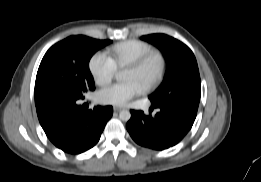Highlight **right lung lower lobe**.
Segmentation results:
<instances>
[{
	"label": "right lung lower lobe",
	"mask_w": 261,
	"mask_h": 182,
	"mask_svg": "<svg viewBox=\"0 0 261 182\" xmlns=\"http://www.w3.org/2000/svg\"><path fill=\"white\" fill-rule=\"evenodd\" d=\"M39 122L50 141L64 152L79 154L92 148L113 114L111 106L88 110L76 100L55 96L35 103Z\"/></svg>",
	"instance_id": "1"
}]
</instances>
